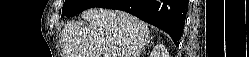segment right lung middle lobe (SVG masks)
<instances>
[{
    "instance_id": "dd1d6c3e",
    "label": "right lung middle lobe",
    "mask_w": 249,
    "mask_h": 57,
    "mask_svg": "<svg viewBox=\"0 0 249 57\" xmlns=\"http://www.w3.org/2000/svg\"><path fill=\"white\" fill-rule=\"evenodd\" d=\"M106 1L107 0H65L61 17L73 16L88 8L99 7Z\"/></svg>"
}]
</instances>
